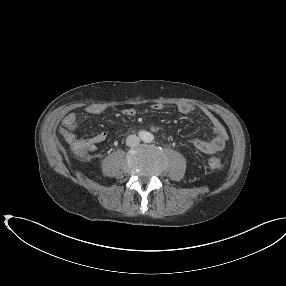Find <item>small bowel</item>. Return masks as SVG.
<instances>
[{
	"label": "small bowel",
	"mask_w": 286,
	"mask_h": 286,
	"mask_svg": "<svg viewBox=\"0 0 286 286\" xmlns=\"http://www.w3.org/2000/svg\"><path fill=\"white\" fill-rule=\"evenodd\" d=\"M154 111H161L164 109L162 103H154L152 106ZM177 110L181 114H189L196 110H200L203 115L209 120L214 131V137L210 140L194 139L193 145L196 149L204 153H215L224 149L228 140V133L221 121L207 108L196 107L190 103H179ZM104 111V108L99 105H90L85 109L87 115L95 116ZM123 114L128 117H132L136 114L134 108H126L123 110ZM79 127V120L75 113L71 112L64 116L62 119V127L60 128V134L62 137L71 143L73 150L80 156H85L87 153H93L97 150L98 145L104 142L108 134L102 131L94 136L88 138H77L76 132Z\"/></svg>",
	"instance_id": "c3829d8e"
}]
</instances>
